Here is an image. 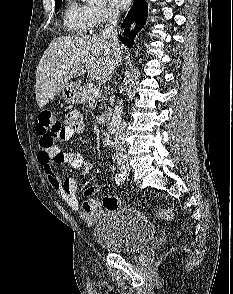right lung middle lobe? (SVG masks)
<instances>
[{"label": "right lung middle lobe", "instance_id": "right-lung-middle-lobe-1", "mask_svg": "<svg viewBox=\"0 0 233 294\" xmlns=\"http://www.w3.org/2000/svg\"><path fill=\"white\" fill-rule=\"evenodd\" d=\"M62 0H55V12H57L61 6Z\"/></svg>", "mask_w": 233, "mask_h": 294}]
</instances>
